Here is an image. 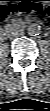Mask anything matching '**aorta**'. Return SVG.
Returning a JSON list of instances; mask_svg holds the SVG:
<instances>
[{"instance_id":"aorta-1","label":"aorta","mask_w":50,"mask_h":111,"mask_svg":"<svg viewBox=\"0 0 50 111\" xmlns=\"http://www.w3.org/2000/svg\"><path fill=\"white\" fill-rule=\"evenodd\" d=\"M41 27L38 24H30L27 27V32L29 35H39Z\"/></svg>"}]
</instances>
